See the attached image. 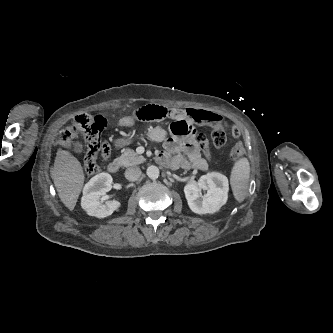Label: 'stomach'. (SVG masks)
Here are the masks:
<instances>
[{
	"label": "stomach",
	"mask_w": 333,
	"mask_h": 333,
	"mask_svg": "<svg viewBox=\"0 0 333 333\" xmlns=\"http://www.w3.org/2000/svg\"><path fill=\"white\" fill-rule=\"evenodd\" d=\"M166 135L167 132L165 129L161 128V127H156L153 129H150L148 132V136L157 142H162L166 139ZM132 137H123V138H119L116 140V143L119 145H125V144H129L131 142Z\"/></svg>",
	"instance_id": "0dacf381"
}]
</instances>
